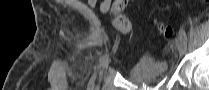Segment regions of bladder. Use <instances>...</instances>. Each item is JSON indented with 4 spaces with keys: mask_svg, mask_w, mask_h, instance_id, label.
<instances>
[{
    "mask_svg": "<svg viewBox=\"0 0 209 90\" xmlns=\"http://www.w3.org/2000/svg\"><path fill=\"white\" fill-rule=\"evenodd\" d=\"M168 65L150 57L141 58L129 70V77L139 83L150 84L166 76Z\"/></svg>",
    "mask_w": 209,
    "mask_h": 90,
    "instance_id": "obj_1",
    "label": "bladder"
}]
</instances>
